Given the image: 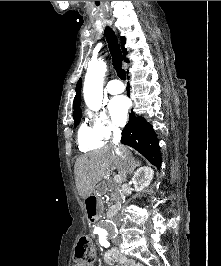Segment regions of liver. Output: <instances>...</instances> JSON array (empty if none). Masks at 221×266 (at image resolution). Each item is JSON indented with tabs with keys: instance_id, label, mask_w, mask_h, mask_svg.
Masks as SVG:
<instances>
[{
	"instance_id": "1",
	"label": "liver",
	"mask_w": 221,
	"mask_h": 266,
	"mask_svg": "<svg viewBox=\"0 0 221 266\" xmlns=\"http://www.w3.org/2000/svg\"><path fill=\"white\" fill-rule=\"evenodd\" d=\"M128 155L136 163L132 157V153L128 150ZM110 167H114L121 177V183L127 180L126 163L116 154L112 147H104L100 150L93 151L88 154L81 155L75 163L74 173L75 182L78 193L82 199H87L90 189H95L96 185L105 177L110 175Z\"/></svg>"
}]
</instances>
